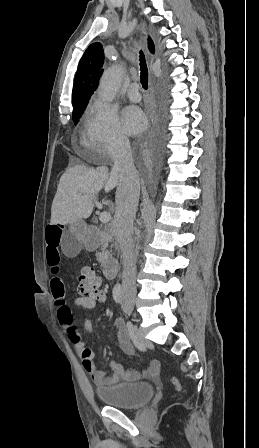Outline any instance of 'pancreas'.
Returning a JSON list of instances; mask_svg holds the SVG:
<instances>
[{"instance_id": "1", "label": "pancreas", "mask_w": 259, "mask_h": 448, "mask_svg": "<svg viewBox=\"0 0 259 448\" xmlns=\"http://www.w3.org/2000/svg\"><path fill=\"white\" fill-rule=\"evenodd\" d=\"M103 248H105V246H102L101 252H96V258L98 262H104V260H107V258H112V254H110L108 250H103Z\"/></svg>"}]
</instances>
